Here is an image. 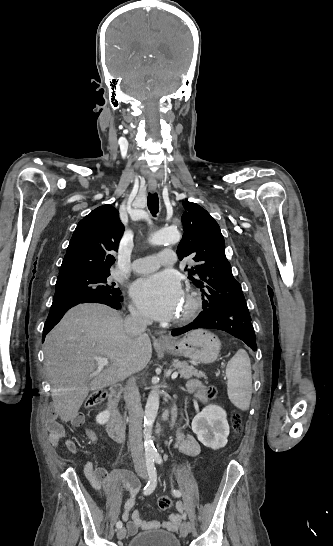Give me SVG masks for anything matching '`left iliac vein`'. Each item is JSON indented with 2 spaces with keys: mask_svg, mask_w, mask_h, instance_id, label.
I'll use <instances>...</instances> for the list:
<instances>
[{
  "mask_svg": "<svg viewBox=\"0 0 333 546\" xmlns=\"http://www.w3.org/2000/svg\"><path fill=\"white\" fill-rule=\"evenodd\" d=\"M189 532H190V525L186 521H184L180 527L181 536L186 537Z\"/></svg>",
  "mask_w": 333,
  "mask_h": 546,
  "instance_id": "4c4485c4",
  "label": "left iliac vein"
}]
</instances>
